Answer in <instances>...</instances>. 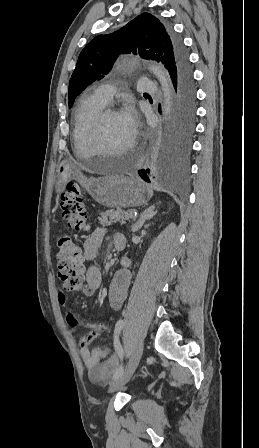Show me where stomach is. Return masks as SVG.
I'll list each match as a JSON object with an SVG mask.
<instances>
[{
	"label": "stomach",
	"mask_w": 259,
	"mask_h": 448,
	"mask_svg": "<svg viewBox=\"0 0 259 448\" xmlns=\"http://www.w3.org/2000/svg\"><path fill=\"white\" fill-rule=\"evenodd\" d=\"M75 174V166L69 162V160H62L58 164L57 168V182L55 184V190L57 194L64 192L66 184L73 180Z\"/></svg>",
	"instance_id": "obj_1"
}]
</instances>
